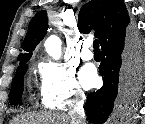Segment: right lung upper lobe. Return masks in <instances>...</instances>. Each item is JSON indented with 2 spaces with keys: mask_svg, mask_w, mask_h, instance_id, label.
Wrapping results in <instances>:
<instances>
[{
  "mask_svg": "<svg viewBox=\"0 0 145 124\" xmlns=\"http://www.w3.org/2000/svg\"><path fill=\"white\" fill-rule=\"evenodd\" d=\"M129 22V15L123 0H91L80 10L78 28L81 33L95 30L96 37L102 45L108 38L121 33ZM47 29V14L40 11L29 23L28 32L22 43V48L27 53H21L18 56L21 64L30 59L31 52L44 37Z\"/></svg>",
  "mask_w": 145,
  "mask_h": 124,
  "instance_id": "obj_1",
  "label": "right lung upper lobe"
}]
</instances>
